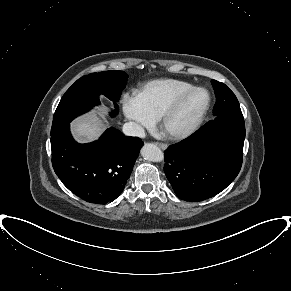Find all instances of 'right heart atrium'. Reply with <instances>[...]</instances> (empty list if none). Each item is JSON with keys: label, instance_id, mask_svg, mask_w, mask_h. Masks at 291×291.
I'll list each match as a JSON object with an SVG mask.
<instances>
[{"label": "right heart atrium", "instance_id": "1", "mask_svg": "<svg viewBox=\"0 0 291 291\" xmlns=\"http://www.w3.org/2000/svg\"><path fill=\"white\" fill-rule=\"evenodd\" d=\"M122 108L124 115L134 123L138 132L151 128L155 123L135 96L125 95L122 99Z\"/></svg>", "mask_w": 291, "mask_h": 291}]
</instances>
